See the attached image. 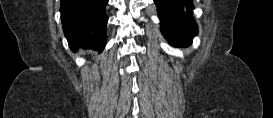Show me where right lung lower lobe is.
<instances>
[{
	"label": "right lung lower lobe",
	"instance_id": "98d812e1",
	"mask_svg": "<svg viewBox=\"0 0 273 118\" xmlns=\"http://www.w3.org/2000/svg\"><path fill=\"white\" fill-rule=\"evenodd\" d=\"M108 0H61L65 37L71 49L78 46L102 52L106 44Z\"/></svg>",
	"mask_w": 273,
	"mask_h": 118
}]
</instances>
